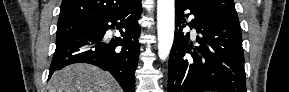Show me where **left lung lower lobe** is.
<instances>
[{
  "label": "left lung lower lobe",
  "mask_w": 289,
  "mask_h": 92,
  "mask_svg": "<svg viewBox=\"0 0 289 92\" xmlns=\"http://www.w3.org/2000/svg\"><path fill=\"white\" fill-rule=\"evenodd\" d=\"M189 15L194 18L187 25L199 33L197 45L181 31ZM175 17L180 29L170 52L168 92H246L239 21L194 0H175Z\"/></svg>",
  "instance_id": "1"
}]
</instances>
